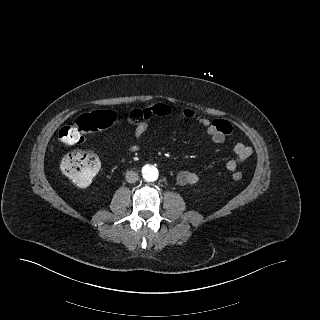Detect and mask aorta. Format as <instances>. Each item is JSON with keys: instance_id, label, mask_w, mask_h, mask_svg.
Returning a JSON list of instances; mask_svg holds the SVG:
<instances>
[{"instance_id": "762f6f07", "label": "aorta", "mask_w": 320, "mask_h": 320, "mask_svg": "<svg viewBox=\"0 0 320 320\" xmlns=\"http://www.w3.org/2000/svg\"><path fill=\"white\" fill-rule=\"evenodd\" d=\"M143 177L147 181H155L158 178V170L154 166H145L142 170Z\"/></svg>"}]
</instances>
